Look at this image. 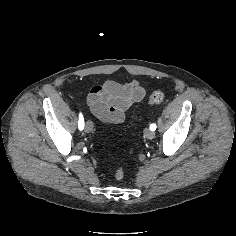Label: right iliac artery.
Returning a JSON list of instances; mask_svg holds the SVG:
<instances>
[{"label": "right iliac artery", "mask_w": 236, "mask_h": 236, "mask_svg": "<svg viewBox=\"0 0 236 236\" xmlns=\"http://www.w3.org/2000/svg\"><path fill=\"white\" fill-rule=\"evenodd\" d=\"M78 128L79 130H83L84 128V118L81 113L79 114Z\"/></svg>", "instance_id": "82829eb1"}]
</instances>
